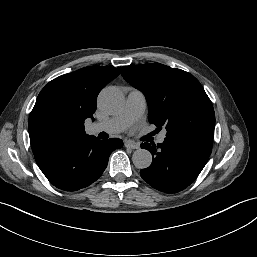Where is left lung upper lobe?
Here are the masks:
<instances>
[{"instance_id": "5c2ea615", "label": "left lung upper lobe", "mask_w": 257, "mask_h": 257, "mask_svg": "<svg viewBox=\"0 0 257 257\" xmlns=\"http://www.w3.org/2000/svg\"><path fill=\"white\" fill-rule=\"evenodd\" d=\"M122 76L143 92L149 106L148 120L166 138L214 135L212 102L200 82L190 73L160 63L123 66Z\"/></svg>"}]
</instances>
